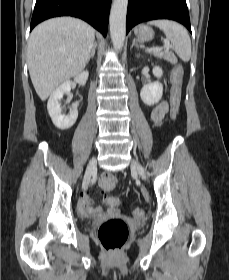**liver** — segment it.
<instances>
[{
	"label": "liver",
	"mask_w": 229,
	"mask_h": 280,
	"mask_svg": "<svg viewBox=\"0 0 229 280\" xmlns=\"http://www.w3.org/2000/svg\"><path fill=\"white\" fill-rule=\"evenodd\" d=\"M94 38L89 24L72 17L49 19L33 29L28 41V69L42 101L85 68Z\"/></svg>",
	"instance_id": "1"
}]
</instances>
